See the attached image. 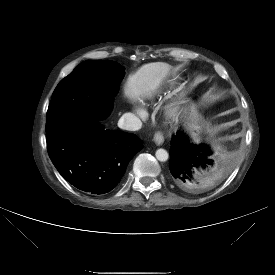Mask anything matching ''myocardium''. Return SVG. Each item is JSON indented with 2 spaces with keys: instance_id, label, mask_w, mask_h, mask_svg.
<instances>
[{
  "instance_id": "1",
  "label": "myocardium",
  "mask_w": 275,
  "mask_h": 275,
  "mask_svg": "<svg viewBox=\"0 0 275 275\" xmlns=\"http://www.w3.org/2000/svg\"><path fill=\"white\" fill-rule=\"evenodd\" d=\"M178 104L179 103L177 101L170 102L165 108L166 113L169 115L175 114V112L177 111V108H178Z\"/></svg>"
}]
</instances>
